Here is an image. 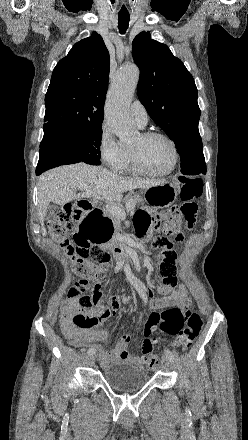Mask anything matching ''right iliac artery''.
<instances>
[{"instance_id":"right-iliac-artery-1","label":"right iliac artery","mask_w":248,"mask_h":440,"mask_svg":"<svg viewBox=\"0 0 248 440\" xmlns=\"http://www.w3.org/2000/svg\"><path fill=\"white\" fill-rule=\"evenodd\" d=\"M95 349L94 348H90V349H88V351H87V353L89 354V355H93V354H95Z\"/></svg>"}]
</instances>
